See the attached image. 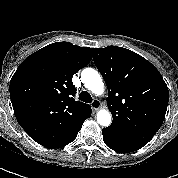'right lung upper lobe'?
Wrapping results in <instances>:
<instances>
[{"instance_id": "1", "label": "right lung upper lobe", "mask_w": 178, "mask_h": 178, "mask_svg": "<svg viewBox=\"0 0 178 178\" xmlns=\"http://www.w3.org/2000/svg\"><path fill=\"white\" fill-rule=\"evenodd\" d=\"M91 59V48L56 42L20 64L10 82V98L19 124L34 141L59 148L76 138L91 107L74 100L72 77Z\"/></svg>"}]
</instances>
